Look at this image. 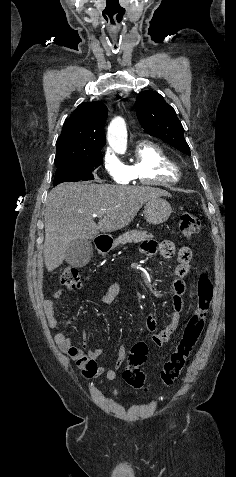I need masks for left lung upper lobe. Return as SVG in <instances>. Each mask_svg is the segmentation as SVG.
<instances>
[{"label": "left lung upper lobe", "mask_w": 236, "mask_h": 477, "mask_svg": "<svg viewBox=\"0 0 236 477\" xmlns=\"http://www.w3.org/2000/svg\"><path fill=\"white\" fill-rule=\"evenodd\" d=\"M136 114L145 131L190 156L183 126L175 110L155 91H143L136 99Z\"/></svg>", "instance_id": "1"}]
</instances>
